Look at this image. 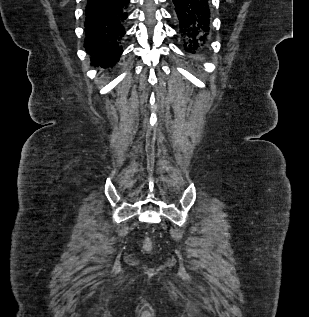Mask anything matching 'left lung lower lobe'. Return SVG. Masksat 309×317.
<instances>
[{
  "mask_svg": "<svg viewBox=\"0 0 309 317\" xmlns=\"http://www.w3.org/2000/svg\"><path fill=\"white\" fill-rule=\"evenodd\" d=\"M179 32L187 53L199 55L208 49L212 33L211 0H172Z\"/></svg>",
  "mask_w": 309,
  "mask_h": 317,
  "instance_id": "left-lung-lower-lobe-1",
  "label": "left lung lower lobe"
}]
</instances>
